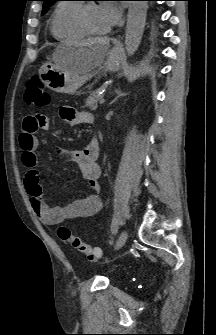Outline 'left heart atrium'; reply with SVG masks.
Returning <instances> with one entry per match:
<instances>
[{"label": "left heart atrium", "instance_id": "39dd6f15", "mask_svg": "<svg viewBox=\"0 0 216 335\" xmlns=\"http://www.w3.org/2000/svg\"><path fill=\"white\" fill-rule=\"evenodd\" d=\"M100 14L106 26V31L118 25L121 21L122 10L117 3L105 1L99 6Z\"/></svg>", "mask_w": 216, "mask_h": 335}]
</instances>
